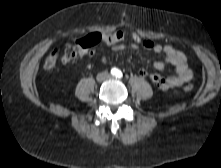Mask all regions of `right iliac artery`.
Here are the masks:
<instances>
[{"label":"right iliac artery","mask_w":221,"mask_h":168,"mask_svg":"<svg viewBox=\"0 0 221 168\" xmlns=\"http://www.w3.org/2000/svg\"><path fill=\"white\" fill-rule=\"evenodd\" d=\"M117 72H118V70H117L116 68H113V69L111 70V74H112V75H117Z\"/></svg>","instance_id":"1"}]
</instances>
